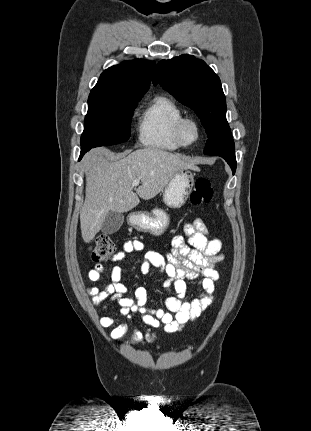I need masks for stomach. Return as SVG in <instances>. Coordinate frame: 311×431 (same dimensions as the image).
Segmentation results:
<instances>
[{"instance_id":"1","label":"stomach","mask_w":311,"mask_h":431,"mask_svg":"<svg viewBox=\"0 0 311 431\" xmlns=\"http://www.w3.org/2000/svg\"><path fill=\"white\" fill-rule=\"evenodd\" d=\"M194 188V176L190 170H179L173 180L163 190V202L167 208H181L186 204ZM127 223L137 231H148L152 235H162L166 231L170 216L154 208L151 212H131L127 216Z\"/></svg>"}]
</instances>
